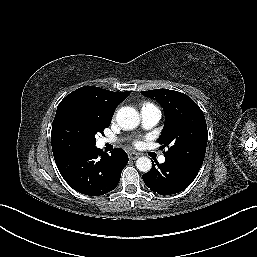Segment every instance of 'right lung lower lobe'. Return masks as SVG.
I'll list each match as a JSON object with an SVG mask.
<instances>
[{
	"label": "right lung lower lobe",
	"instance_id": "1",
	"mask_svg": "<svg viewBox=\"0 0 257 257\" xmlns=\"http://www.w3.org/2000/svg\"><path fill=\"white\" fill-rule=\"evenodd\" d=\"M64 180L85 195H103L117 186L128 163L127 153L115 148L111 155L101 149L80 148L54 157Z\"/></svg>",
	"mask_w": 257,
	"mask_h": 257
}]
</instances>
